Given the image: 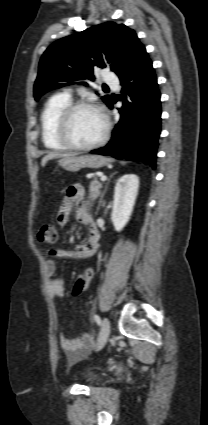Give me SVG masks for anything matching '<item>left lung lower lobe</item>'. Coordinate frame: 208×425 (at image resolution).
<instances>
[{
  "label": "left lung lower lobe",
  "mask_w": 208,
  "mask_h": 425,
  "mask_svg": "<svg viewBox=\"0 0 208 425\" xmlns=\"http://www.w3.org/2000/svg\"><path fill=\"white\" fill-rule=\"evenodd\" d=\"M123 106L110 142L92 153L141 161L155 168L161 130V103L157 78L147 53L120 78ZM113 108L112 101L108 105Z\"/></svg>",
  "instance_id": "0a47b994"
}]
</instances>
